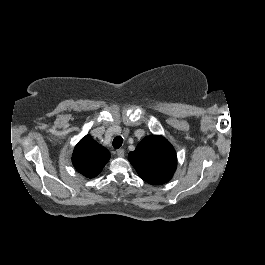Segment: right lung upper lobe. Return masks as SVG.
<instances>
[{"label":"right lung upper lobe","mask_w":265,"mask_h":265,"mask_svg":"<svg viewBox=\"0 0 265 265\" xmlns=\"http://www.w3.org/2000/svg\"><path fill=\"white\" fill-rule=\"evenodd\" d=\"M110 158L109 151L86 135L75 147L72 162L85 177L97 176Z\"/></svg>","instance_id":"right-lung-upper-lobe-1"}]
</instances>
